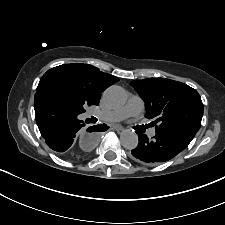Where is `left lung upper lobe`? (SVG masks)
<instances>
[{
  "label": "left lung upper lobe",
  "instance_id": "5c2ea615",
  "mask_svg": "<svg viewBox=\"0 0 225 225\" xmlns=\"http://www.w3.org/2000/svg\"><path fill=\"white\" fill-rule=\"evenodd\" d=\"M145 101V117L153 119L156 133L192 130L198 132L203 103L190 86L165 78L134 80L130 83Z\"/></svg>",
  "mask_w": 225,
  "mask_h": 225
}]
</instances>
